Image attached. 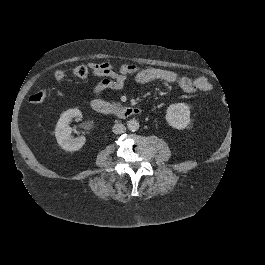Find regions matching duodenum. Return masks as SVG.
<instances>
[{
  "label": "duodenum",
  "instance_id": "duodenum-1",
  "mask_svg": "<svg viewBox=\"0 0 265 265\" xmlns=\"http://www.w3.org/2000/svg\"><path fill=\"white\" fill-rule=\"evenodd\" d=\"M94 111L109 116H116L121 119L134 117L141 114V109L134 106L118 107L101 99H94L91 102Z\"/></svg>",
  "mask_w": 265,
  "mask_h": 265
}]
</instances>
